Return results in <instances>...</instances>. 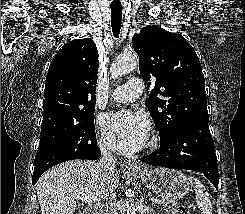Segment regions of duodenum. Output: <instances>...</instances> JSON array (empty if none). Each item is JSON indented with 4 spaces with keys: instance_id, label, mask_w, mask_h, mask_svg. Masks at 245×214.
I'll return each mask as SVG.
<instances>
[{
    "instance_id": "410a0bca",
    "label": "duodenum",
    "mask_w": 245,
    "mask_h": 214,
    "mask_svg": "<svg viewBox=\"0 0 245 214\" xmlns=\"http://www.w3.org/2000/svg\"><path fill=\"white\" fill-rule=\"evenodd\" d=\"M86 214H99V206L96 204L91 205Z\"/></svg>"
}]
</instances>
